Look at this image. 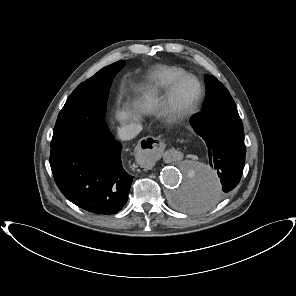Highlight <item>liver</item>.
Returning <instances> with one entry per match:
<instances>
[{
    "label": "liver",
    "instance_id": "liver-1",
    "mask_svg": "<svg viewBox=\"0 0 296 296\" xmlns=\"http://www.w3.org/2000/svg\"><path fill=\"white\" fill-rule=\"evenodd\" d=\"M158 105V98L156 97L154 92H147L143 96V102L140 103V106L145 110V111H150L154 108H156ZM118 118L121 122H125L128 119H130L131 114H129L126 111H122L118 113ZM136 120V118H134Z\"/></svg>",
    "mask_w": 296,
    "mask_h": 296
}]
</instances>
